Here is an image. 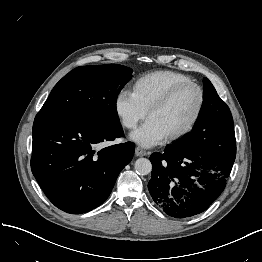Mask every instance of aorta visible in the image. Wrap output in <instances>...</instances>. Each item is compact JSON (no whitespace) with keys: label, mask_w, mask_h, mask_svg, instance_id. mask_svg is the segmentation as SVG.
Segmentation results:
<instances>
[{"label":"aorta","mask_w":262,"mask_h":262,"mask_svg":"<svg viewBox=\"0 0 262 262\" xmlns=\"http://www.w3.org/2000/svg\"><path fill=\"white\" fill-rule=\"evenodd\" d=\"M135 171L139 175H147L152 170V164L149 159L139 158L134 165Z\"/></svg>","instance_id":"obj_1"}]
</instances>
